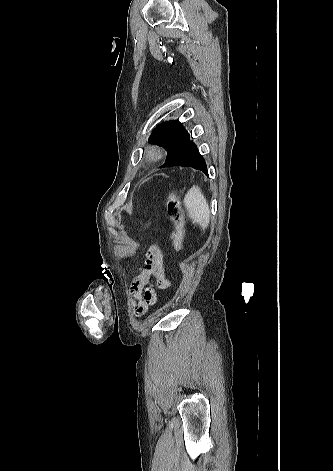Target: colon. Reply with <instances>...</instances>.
<instances>
[{"mask_svg": "<svg viewBox=\"0 0 333 471\" xmlns=\"http://www.w3.org/2000/svg\"><path fill=\"white\" fill-rule=\"evenodd\" d=\"M167 214L174 226L172 243L176 254H180L183 246L185 219L178 196L170 192L166 198Z\"/></svg>", "mask_w": 333, "mask_h": 471, "instance_id": "colon-1", "label": "colon"}]
</instances>
